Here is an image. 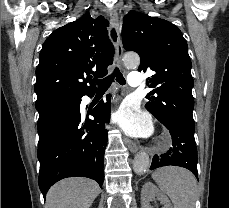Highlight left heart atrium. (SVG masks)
<instances>
[{
    "label": "left heart atrium",
    "instance_id": "obj_1",
    "mask_svg": "<svg viewBox=\"0 0 229 208\" xmlns=\"http://www.w3.org/2000/svg\"><path fill=\"white\" fill-rule=\"evenodd\" d=\"M113 122L134 137H147L151 134L152 125L149 115L133 102L123 103L115 112Z\"/></svg>",
    "mask_w": 229,
    "mask_h": 208
}]
</instances>
